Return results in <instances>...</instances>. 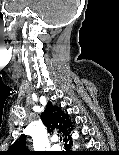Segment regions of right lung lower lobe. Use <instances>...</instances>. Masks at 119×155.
Here are the masks:
<instances>
[{
  "label": "right lung lower lobe",
  "mask_w": 119,
  "mask_h": 155,
  "mask_svg": "<svg viewBox=\"0 0 119 155\" xmlns=\"http://www.w3.org/2000/svg\"><path fill=\"white\" fill-rule=\"evenodd\" d=\"M66 142H72V139H71V136L69 135L67 138H66V140H65ZM69 146L70 145H67L66 144V146H65V148L66 149H69ZM91 152H89V151H79V152H77V153H67V155H91L90 154Z\"/></svg>",
  "instance_id": "obj_1"
}]
</instances>
